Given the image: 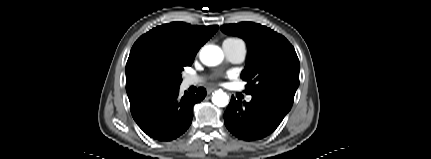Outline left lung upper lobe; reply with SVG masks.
<instances>
[{"label":"left lung upper lobe","mask_w":431,"mask_h":159,"mask_svg":"<svg viewBox=\"0 0 431 159\" xmlns=\"http://www.w3.org/2000/svg\"><path fill=\"white\" fill-rule=\"evenodd\" d=\"M221 30L247 43L246 67L241 74L248 82L246 93L273 96L292 105L299 86L300 63L290 42L270 28L252 22L222 25Z\"/></svg>","instance_id":"5c2ea615"}]
</instances>
